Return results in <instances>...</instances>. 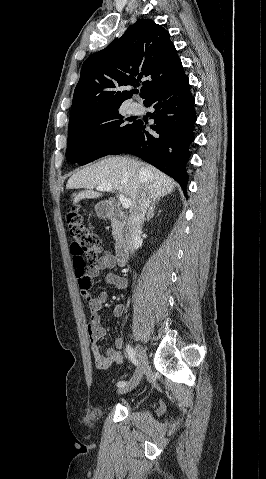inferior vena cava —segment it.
I'll use <instances>...</instances> for the list:
<instances>
[{"mask_svg":"<svg viewBox=\"0 0 266 479\" xmlns=\"http://www.w3.org/2000/svg\"><path fill=\"white\" fill-rule=\"evenodd\" d=\"M149 203L148 190L144 186L140 191L137 203L131 209L130 220L126 226V243L131 254L135 252L140 241L141 229Z\"/></svg>","mask_w":266,"mask_h":479,"instance_id":"602c4592","label":"inferior vena cava"}]
</instances>
